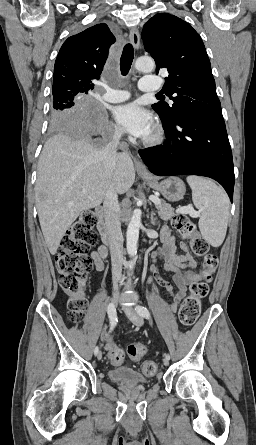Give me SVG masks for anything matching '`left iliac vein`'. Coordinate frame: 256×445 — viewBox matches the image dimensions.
Listing matches in <instances>:
<instances>
[{
	"mask_svg": "<svg viewBox=\"0 0 256 445\" xmlns=\"http://www.w3.org/2000/svg\"><path fill=\"white\" fill-rule=\"evenodd\" d=\"M122 309L125 312V314L128 317V319L133 324H135L136 326H142L143 325L144 320H143L142 316L138 314L136 309H134L131 306H122ZM163 364L165 366H168L169 365V359H167L166 357L163 358Z\"/></svg>",
	"mask_w": 256,
	"mask_h": 445,
	"instance_id": "obj_1",
	"label": "left iliac vein"
}]
</instances>
